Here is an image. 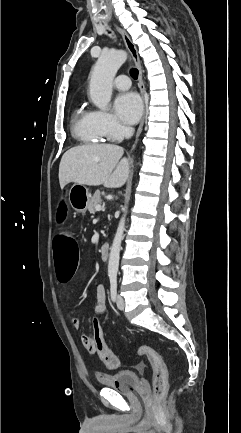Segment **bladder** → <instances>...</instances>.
<instances>
[{
  "label": "bladder",
  "mask_w": 241,
  "mask_h": 433,
  "mask_svg": "<svg viewBox=\"0 0 241 433\" xmlns=\"http://www.w3.org/2000/svg\"><path fill=\"white\" fill-rule=\"evenodd\" d=\"M96 379L101 386L123 393L135 391L140 383L139 376L134 371H119L112 374H97Z\"/></svg>",
  "instance_id": "bladder-1"
}]
</instances>
